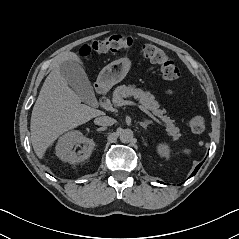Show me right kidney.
Instances as JSON below:
<instances>
[{
  "instance_id": "obj_1",
  "label": "right kidney",
  "mask_w": 239,
  "mask_h": 239,
  "mask_svg": "<svg viewBox=\"0 0 239 239\" xmlns=\"http://www.w3.org/2000/svg\"><path fill=\"white\" fill-rule=\"evenodd\" d=\"M81 144H83L81 150L75 152L74 146ZM94 146V141L85 137L80 131H70L59 138L56 145V155L62 161L76 164L87 160L91 156Z\"/></svg>"
}]
</instances>
